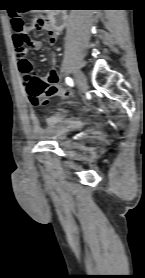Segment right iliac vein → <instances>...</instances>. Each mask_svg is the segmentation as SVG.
Listing matches in <instances>:
<instances>
[{
	"label": "right iliac vein",
	"instance_id": "63e3f726",
	"mask_svg": "<svg viewBox=\"0 0 145 278\" xmlns=\"http://www.w3.org/2000/svg\"><path fill=\"white\" fill-rule=\"evenodd\" d=\"M75 81L79 86L80 91H84L86 89L87 80L85 75L80 71L74 72Z\"/></svg>",
	"mask_w": 145,
	"mask_h": 278
}]
</instances>
